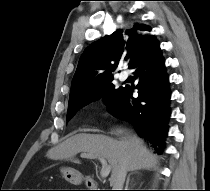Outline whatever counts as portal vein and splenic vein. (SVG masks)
I'll use <instances>...</instances> for the list:
<instances>
[{
  "label": "portal vein and splenic vein",
  "instance_id": "portal-vein-and-splenic-vein-1",
  "mask_svg": "<svg viewBox=\"0 0 210 191\" xmlns=\"http://www.w3.org/2000/svg\"><path fill=\"white\" fill-rule=\"evenodd\" d=\"M81 157L90 158V159H99L100 162L102 163V169H101V172H100L101 177L106 178L109 175V173L111 171V166L107 164L104 157L91 155V154H85V153L81 154Z\"/></svg>",
  "mask_w": 210,
  "mask_h": 191
}]
</instances>
